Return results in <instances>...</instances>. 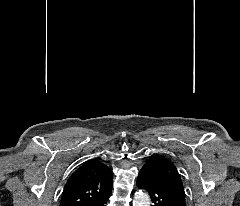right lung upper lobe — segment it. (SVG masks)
Here are the masks:
<instances>
[{
	"instance_id": "cb5924a9",
	"label": "right lung upper lobe",
	"mask_w": 240,
	"mask_h": 206,
	"mask_svg": "<svg viewBox=\"0 0 240 206\" xmlns=\"http://www.w3.org/2000/svg\"><path fill=\"white\" fill-rule=\"evenodd\" d=\"M112 172L99 160H91L79 167L63 190L60 206H87L109 194Z\"/></svg>"
}]
</instances>
